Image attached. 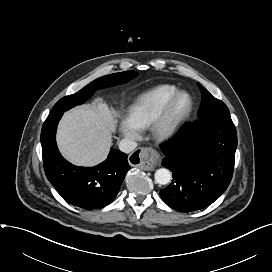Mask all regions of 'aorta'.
<instances>
[{"mask_svg":"<svg viewBox=\"0 0 272 272\" xmlns=\"http://www.w3.org/2000/svg\"><path fill=\"white\" fill-rule=\"evenodd\" d=\"M155 181L160 185H166L171 180V173L166 168H160L155 172Z\"/></svg>","mask_w":272,"mask_h":272,"instance_id":"obj_1","label":"aorta"}]
</instances>
